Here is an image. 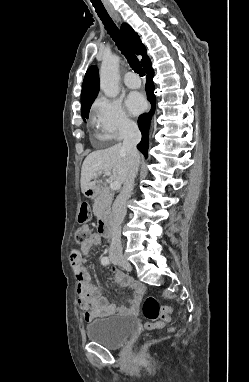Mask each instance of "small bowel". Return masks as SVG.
<instances>
[{"label":"small bowel","mask_w":249,"mask_h":382,"mask_svg":"<svg viewBox=\"0 0 249 382\" xmlns=\"http://www.w3.org/2000/svg\"><path fill=\"white\" fill-rule=\"evenodd\" d=\"M100 232L90 233L89 239L80 245L78 250L71 253L70 260L77 279L78 303L81 307L82 317L89 323L96 318L115 315L133 314L137 312L138 304L144 293L141 283L132 282L123 273L113 270L110 277L121 286H129L133 290V299L130 307L116 306L101 295L99 287L91 281V275L85 266L86 256L90 250L105 241Z\"/></svg>","instance_id":"c3829d8e"}]
</instances>
